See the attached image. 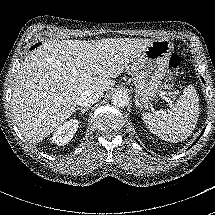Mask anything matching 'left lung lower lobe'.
Instances as JSON below:
<instances>
[{"instance_id": "left-lung-lower-lobe-1", "label": "left lung lower lobe", "mask_w": 215, "mask_h": 215, "mask_svg": "<svg viewBox=\"0 0 215 215\" xmlns=\"http://www.w3.org/2000/svg\"><path fill=\"white\" fill-rule=\"evenodd\" d=\"M204 130H205V128L203 129L202 133L204 132ZM202 133H201V135H202ZM201 135L198 137V139L201 137ZM198 139L196 140V142L198 141Z\"/></svg>"}]
</instances>
